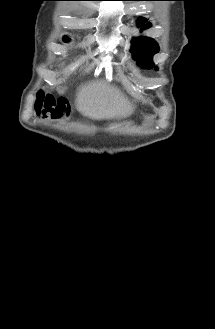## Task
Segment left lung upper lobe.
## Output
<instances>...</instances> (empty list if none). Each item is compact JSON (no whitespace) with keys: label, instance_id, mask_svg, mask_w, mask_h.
<instances>
[{"label":"left lung upper lobe","instance_id":"1","mask_svg":"<svg viewBox=\"0 0 215 329\" xmlns=\"http://www.w3.org/2000/svg\"><path fill=\"white\" fill-rule=\"evenodd\" d=\"M146 22L145 18L138 19V26H142ZM150 23L143 26L148 28ZM159 51L157 43L148 37H139L132 41L133 59L137 60L138 65L142 68L151 69L154 67L152 55Z\"/></svg>","mask_w":215,"mask_h":329}]
</instances>
